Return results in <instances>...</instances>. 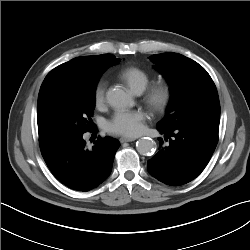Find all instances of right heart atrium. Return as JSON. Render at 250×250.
<instances>
[{
    "mask_svg": "<svg viewBox=\"0 0 250 250\" xmlns=\"http://www.w3.org/2000/svg\"><path fill=\"white\" fill-rule=\"evenodd\" d=\"M107 82L104 79H100L94 88V102L96 106H102L105 102Z\"/></svg>",
    "mask_w": 250,
    "mask_h": 250,
    "instance_id": "d8ad5b80",
    "label": "right heart atrium"
}]
</instances>
